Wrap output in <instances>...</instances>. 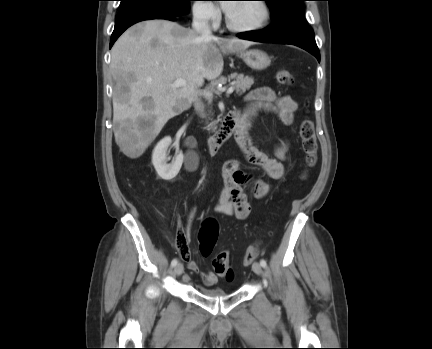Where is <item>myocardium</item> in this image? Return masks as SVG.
<instances>
[{
	"label": "myocardium",
	"mask_w": 432,
	"mask_h": 349,
	"mask_svg": "<svg viewBox=\"0 0 432 349\" xmlns=\"http://www.w3.org/2000/svg\"><path fill=\"white\" fill-rule=\"evenodd\" d=\"M254 2H258L259 5L261 6L262 10H263V17L262 19L251 26H239L236 25L232 22V20L230 19L228 13H226L225 15V22H226V26L235 32H240V33H248V32H255V31H259L262 28H264L268 22L270 21L271 18V9L269 4L267 3L266 0H254Z\"/></svg>",
	"instance_id": "obj_1"
}]
</instances>
